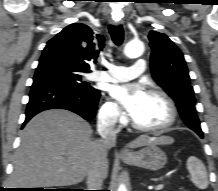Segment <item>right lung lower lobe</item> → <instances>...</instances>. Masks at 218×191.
<instances>
[{
    "label": "right lung lower lobe",
    "instance_id": "obj_1",
    "mask_svg": "<svg viewBox=\"0 0 218 191\" xmlns=\"http://www.w3.org/2000/svg\"><path fill=\"white\" fill-rule=\"evenodd\" d=\"M30 99L26 109L25 125L36 114L49 109H66L91 120L96 113L100 92H85L73 88L55 76H39L33 79Z\"/></svg>",
    "mask_w": 218,
    "mask_h": 191
}]
</instances>
